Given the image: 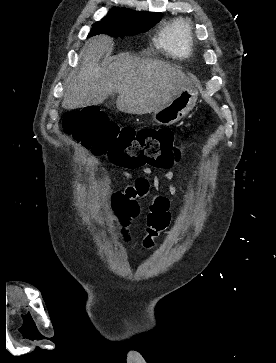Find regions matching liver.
Returning <instances> with one entry per match:
<instances>
[{
    "label": "liver",
    "instance_id": "liver-1",
    "mask_svg": "<svg viewBox=\"0 0 276 363\" xmlns=\"http://www.w3.org/2000/svg\"><path fill=\"white\" fill-rule=\"evenodd\" d=\"M112 47L113 41L106 35L93 37L83 46L79 53L80 68L66 82L63 108L99 105L118 93L119 111L141 115L165 106L191 83L178 67L128 53L100 64Z\"/></svg>",
    "mask_w": 276,
    "mask_h": 363
}]
</instances>
